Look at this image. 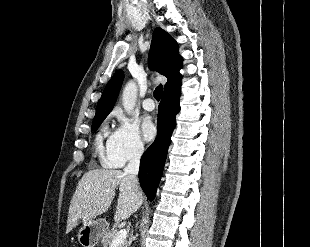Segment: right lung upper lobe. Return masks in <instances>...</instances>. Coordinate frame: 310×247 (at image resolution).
<instances>
[{
  "instance_id": "right-lung-upper-lobe-1",
  "label": "right lung upper lobe",
  "mask_w": 310,
  "mask_h": 247,
  "mask_svg": "<svg viewBox=\"0 0 310 247\" xmlns=\"http://www.w3.org/2000/svg\"><path fill=\"white\" fill-rule=\"evenodd\" d=\"M149 67L168 78L164 92L181 85L182 76L179 70L182 67V58L178 54L176 41L163 29L156 28L153 33L149 54ZM124 74L117 71L106 85L97 104L94 120L106 117L116 102Z\"/></svg>"
}]
</instances>
